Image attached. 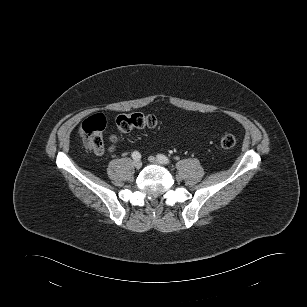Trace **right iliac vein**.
Instances as JSON below:
<instances>
[{
	"label": "right iliac vein",
	"mask_w": 307,
	"mask_h": 307,
	"mask_svg": "<svg viewBox=\"0 0 307 307\" xmlns=\"http://www.w3.org/2000/svg\"><path fill=\"white\" fill-rule=\"evenodd\" d=\"M133 165L136 169H140L142 167V162L140 160H135Z\"/></svg>",
	"instance_id": "63e3f726"
}]
</instances>
